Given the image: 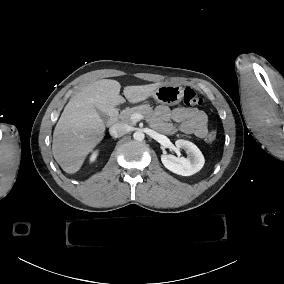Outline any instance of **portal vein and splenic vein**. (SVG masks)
Masks as SVG:
<instances>
[{
  "instance_id": "portal-vein-and-splenic-vein-1",
  "label": "portal vein and splenic vein",
  "mask_w": 284,
  "mask_h": 284,
  "mask_svg": "<svg viewBox=\"0 0 284 284\" xmlns=\"http://www.w3.org/2000/svg\"><path fill=\"white\" fill-rule=\"evenodd\" d=\"M129 120H130L131 122H133V123H136V122H138V121H140V120H145V116L142 115V114H140V113H133V114L130 116Z\"/></svg>"
}]
</instances>
